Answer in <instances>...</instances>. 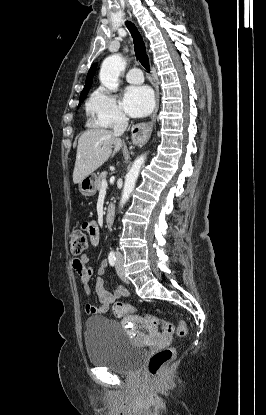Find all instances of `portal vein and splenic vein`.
<instances>
[{
    "instance_id": "1",
    "label": "portal vein and splenic vein",
    "mask_w": 266,
    "mask_h": 415,
    "mask_svg": "<svg viewBox=\"0 0 266 415\" xmlns=\"http://www.w3.org/2000/svg\"><path fill=\"white\" fill-rule=\"evenodd\" d=\"M107 186H108L107 181H106V179H104V180L102 181L101 187H102V189H106V188H107Z\"/></svg>"
}]
</instances>
